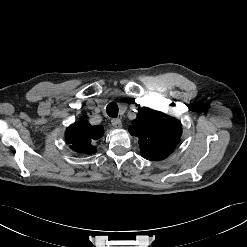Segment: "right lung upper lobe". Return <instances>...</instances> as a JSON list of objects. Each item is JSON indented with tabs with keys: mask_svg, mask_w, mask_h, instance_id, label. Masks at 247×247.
<instances>
[{
	"mask_svg": "<svg viewBox=\"0 0 247 247\" xmlns=\"http://www.w3.org/2000/svg\"><path fill=\"white\" fill-rule=\"evenodd\" d=\"M104 129L101 126L92 127L87 121L74 123L66 130V141L70 147L78 153L92 154L96 147L92 145L94 140L101 137Z\"/></svg>",
	"mask_w": 247,
	"mask_h": 247,
	"instance_id": "right-lung-upper-lobe-1",
	"label": "right lung upper lobe"
}]
</instances>
